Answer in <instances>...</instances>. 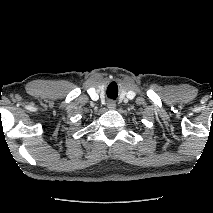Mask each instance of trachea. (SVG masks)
<instances>
[{"instance_id": "obj_1", "label": "trachea", "mask_w": 213, "mask_h": 213, "mask_svg": "<svg viewBox=\"0 0 213 213\" xmlns=\"http://www.w3.org/2000/svg\"><path fill=\"white\" fill-rule=\"evenodd\" d=\"M118 96V89H112L111 86L107 89V97L111 99H116Z\"/></svg>"}]
</instances>
